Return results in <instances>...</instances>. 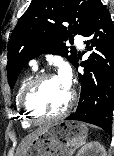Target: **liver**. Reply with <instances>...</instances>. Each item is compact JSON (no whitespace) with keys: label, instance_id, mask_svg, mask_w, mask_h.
Returning <instances> with one entry per match:
<instances>
[{"label":"liver","instance_id":"obj_1","mask_svg":"<svg viewBox=\"0 0 114 156\" xmlns=\"http://www.w3.org/2000/svg\"><path fill=\"white\" fill-rule=\"evenodd\" d=\"M45 127H39L35 131H33L31 134L26 136L21 143L19 144L17 150H16V156H24L28 147L30 146L31 142L39 135Z\"/></svg>","mask_w":114,"mask_h":156}]
</instances>
